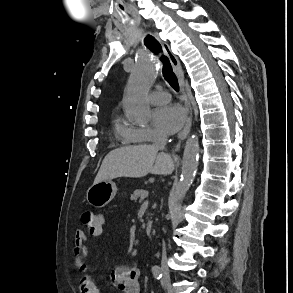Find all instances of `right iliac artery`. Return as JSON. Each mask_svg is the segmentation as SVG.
<instances>
[{"label":"right iliac artery","mask_w":293,"mask_h":293,"mask_svg":"<svg viewBox=\"0 0 293 293\" xmlns=\"http://www.w3.org/2000/svg\"><path fill=\"white\" fill-rule=\"evenodd\" d=\"M152 272H153V275H154V277L156 279H158V280L161 279V277H162V271H161V269L159 267H154L152 269Z\"/></svg>","instance_id":"1"}]
</instances>
